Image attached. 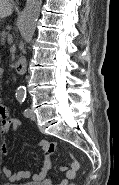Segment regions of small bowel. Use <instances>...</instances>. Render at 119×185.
I'll return each instance as SVG.
<instances>
[{
	"instance_id": "obj_1",
	"label": "small bowel",
	"mask_w": 119,
	"mask_h": 185,
	"mask_svg": "<svg viewBox=\"0 0 119 185\" xmlns=\"http://www.w3.org/2000/svg\"><path fill=\"white\" fill-rule=\"evenodd\" d=\"M0 118H1V134L3 136V142L1 146L2 154L7 157L9 155V148L7 145L6 136L10 131L17 130L18 127L22 125L20 120L16 118H11L8 115L6 106L0 104ZM38 146L43 150V167L37 174L33 175V180L37 182H43L44 185H52L49 179H46L48 169L51 165V156L57 146L56 143L50 142L45 139H40L38 141ZM80 168V164L76 159H72L68 166H61L60 170L65 173V178L57 185H68L69 180L76 177L77 171ZM4 175L12 182L19 181L31 177L29 171L13 172L8 166H3ZM73 185V184H69Z\"/></svg>"
}]
</instances>
